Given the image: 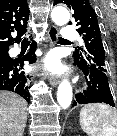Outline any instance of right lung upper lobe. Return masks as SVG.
I'll use <instances>...</instances> for the list:
<instances>
[{"label":"right lung upper lobe","mask_w":117,"mask_h":136,"mask_svg":"<svg viewBox=\"0 0 117 136\" xmlns=\"http://www.w3.org/2000/svg\"><path fill=\"white\" fill-rule=\"evenodd\" d=\"M29 9L26 0H0V53L8 52L26 32ZM17 33L13 38L12 33Z\"/></svg>","instance_id":"cb5924a9"}]
</instances>
